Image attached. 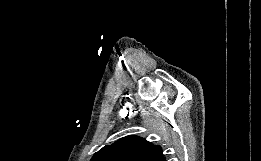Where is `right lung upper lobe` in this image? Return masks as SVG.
I'll list each match as a JSON object with an SVG mask.
<instances>
[{
    "instance_id": "1",
    "label": "right lung upper lobe",
    "mask_w": 261,
    "mask_h": 161,
    "mask_svg": "<svg viewBox=\"0 0 261 161\" xmlns=\"http://www.w3.org/2000/svg\"><path fill=\"white\" fill-rule=\"evenodd\" d=\"M91 161H166L159 145L127 136L95 153Z\"/></svg>"
}]
</instances>
